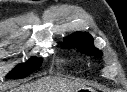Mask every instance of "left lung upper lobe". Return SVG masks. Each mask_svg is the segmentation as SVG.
<instances>
[{
    "instance_id": "left-lung-upper-lobe-1",
    "label": "left lung upper lobe",
    "mask_w": 127,
    "mask_h": 92,
    "mask_svg": "<svg viewBox=\"0 0 127 92\" xmlns=\"http://www.w3.org/2000/svg\"><path fill=\"white\" fill-rule=\"evenodd\" d=\"M62 46L65 48L78 47L82 49V52L89 55H102V53L94 47L93 38L88 33H74L66 38Z\"/></svg>"
}]
</instances>
